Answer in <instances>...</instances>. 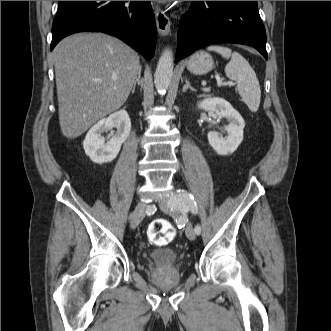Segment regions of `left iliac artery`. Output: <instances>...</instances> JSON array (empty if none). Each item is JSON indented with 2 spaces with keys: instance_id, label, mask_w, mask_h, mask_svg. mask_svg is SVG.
<instances>
[{
  "instance_id": "left-iliac-artery-1",
  "label": "left iliac artery",
  "mask_w": 331,
  "mask_h": 331,
  "mask_svg": "<svg viewBox=\"0 0 331 331\" xmlns=\"http://www.w3.org/2000/svg\"><path fill=\"white\" fill-rule=\"evenodd\" d=\"M168 205L171 207V210H179L183 213L191 211L193 214H197L198 212L193 196L183 189L177 190L176 195L168 201ZM194 230L197 235L201 233V227L199 225Z\"/></svg>"
}]
</instances>
